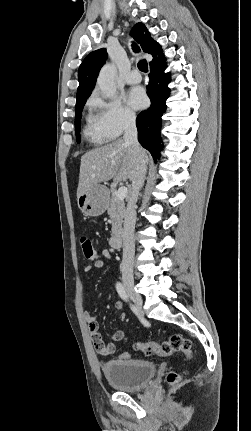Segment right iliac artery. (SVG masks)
<instances>
[{"mask_svg": "<svg viewBox=\"0 0 251 431\" xmlns=\"http://www.w3.org/2000/svg\"><path fill=\"white\" fill-rule=\"evenodd\" d=\"M116 290H117V292H118L119 296H120L124 301H126V302H128V301H129V296H128V294L126 293V291H125V289H124L123 285H122L120 282H117V283H116Z\"/></svg>", "mask_w": 251, "mask_h": 431, "instance_id": "1", "label": "right iliac artery"}]
</instances>
